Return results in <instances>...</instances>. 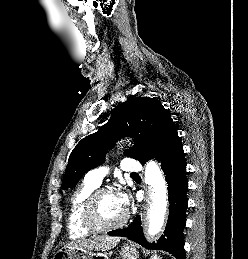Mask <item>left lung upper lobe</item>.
Listing matches in <instances>:
<instances>
[{
	"instance_id": "1",
	"label": "left lung upper lobe",
	"mask_w": 248,
	"mask_h": 259,
	"mask_svg": "<svg viewBox=\"0 0 248 259\" xmlns=\"http://www.w3.org/2000/svg\"><path fill=\"white\" fill-rule=\"evenodd\" d=\"M124 136L135 138L134 146L125 155L142 164L180 140L169 112L159 101L131 95L105 125L73 149L63 177V189H73L83 174L101 165L108 149Z\"/></svg>"
}]
</instances>
